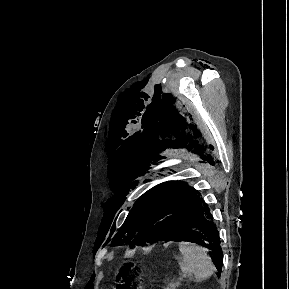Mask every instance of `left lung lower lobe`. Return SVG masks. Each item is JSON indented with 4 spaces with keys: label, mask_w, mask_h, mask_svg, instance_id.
<instances>
[{
    "label": "left lung lower lobe",
    "mask_w": 289,
    "mask_h": 289,
    "mask_svg": "<svg viewBox=\"0 0 289 289\" xmlns=\"http://www.w3.org/2000/svg\"><path fill=\"white\" fill-rule=\"evenodd\" d=\"M163 235L158 240L174 237L192 238V242L210 250L218 260L215 264L219 273L222 268V249L219 232L213 223L208 205L199 197V192L186 187L168 204Z\"/></svg>",
    "instance_id": "1"
}]
</instances>
